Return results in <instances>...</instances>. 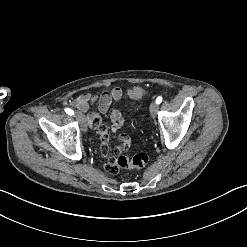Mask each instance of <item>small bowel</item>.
Returning <instances> with one entry per match:
<instances>
[{
    "label": "small bowel",
    "mask_w": 247,
    "mask_h": 247,
    "mask_svg": "<svg viewBox=\"0 0 247 247\" xmlns=\"http://www.w3.org/2000/svg\"><path fill=\"white\" fill-rule=\"evenodd\" d=\"M125 98L126 94L123 92V90L119 87H114L109 93H103L99 96L91 93H83L69 103L71 107L85 112L93 103L98 102L99 112H90L87 115V122L90 127H94L97 130V148L100 151L101 162L103 164L104 171L111 176L117 175L119 169L114 165L116 159L114 156L109 154L107 145L109 143V136L115 137L118 130L123 125V116L120 110H113L110 114L111 127L108 129L102 123L101 113L108 110L112 101H120ZM116 142L118 145L115 146L114 151L118 155L123 154L132 146V139L128 135H118L116 137Z\"/></svg>",
    "instance_id": "c3829d8e"
}]
</instances>
